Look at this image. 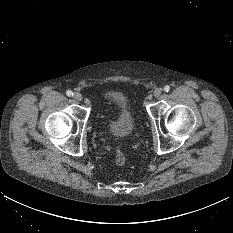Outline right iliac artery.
<instances>
[{"instance_id": "obj_1", "label": "right iliac artery", "mask_w": 233, "mask_h": 233, "mask_svg": "<svg viewBox=\"0 0 233 233\" xmlns=\"http://www.w3.org/2000/svg\"><path fill=\"white\" fill-rule=\"evenodd\" d=\"M66 94H67L68 97L73 96V92H72L71 90H68V91L66 92Z\"/></svg>"}]
</instances>
